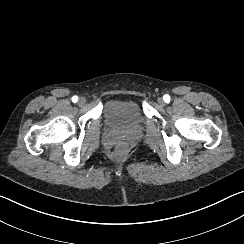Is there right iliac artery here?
I'll return each mask as SVG.
<instances>
[{"label": "right iliac artery", "instance_id": "right-iliac-artery-1", "mask_svg": "<svg viewBox=\"0 0 244 244\" xmlns=\"http://www.w3.org/2000/svg\"><path fill=\"white\" fill-rule=\"evenodd\" d=\"M78 101V97L77 96H73L72 97V102L76 103Z\"/></svg>", "mask_w": 244, "mask_h": 244}]
</instances>
